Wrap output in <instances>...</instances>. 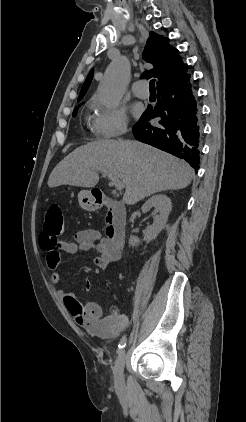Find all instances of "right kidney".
I'll use <instances>...</instances> for the list:
<instances>
[{
  "instance_id": "1",
  "label": "right kidney",
  "mask_w": 246,
  "mask_h": 422,
  "mask_svg": "<svg viewBox=\"0 0 246 422\" xmlns=\"http://www.w3.org/2000/svg\"><path fill=\"white\" fill-rule=\"evenodd\" d=\"M151 208H155V210L159 212V215L155 217L154 223L148 226L144 232L143 240L146 243H149L150 241L154 240L165 227L169 213L172 208L171 200L163 194L152 196L142 206V212L146 213ZM139 243L140 240L137 237L132 236L130 238V246L134 247L137 246Z\"/></svg>"
}]
</instances>
